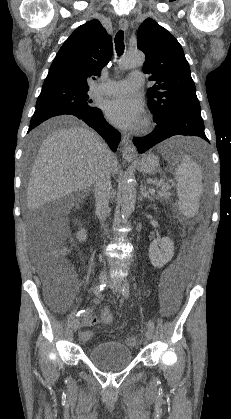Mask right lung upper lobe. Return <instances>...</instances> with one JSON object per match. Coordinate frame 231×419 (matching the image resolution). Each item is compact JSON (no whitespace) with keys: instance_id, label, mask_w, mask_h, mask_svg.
<instances>
[{"instance_id":"obj_1","label":"right lung upper lobe","mask_w":231,"mask_h":419,"mask_svg":"<svg viewBox=\"0 0 231 419\" xmlns=\"http://www.w3.org/2000/svg\"><path fill=\"white\" fill-rule=\"evenodd\" d=\"M113 53L111 36L98 20L79 26L58 51L43 84L89 89Z\"/></svg>"}]
</instances>
